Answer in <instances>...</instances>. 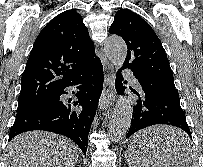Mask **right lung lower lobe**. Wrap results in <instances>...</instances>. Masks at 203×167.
Returning <instances> with one entry per match:
<instances>
[{"instance_id": "98d812e1", "label": "right lung lower lobe", "mask_w": 203, "mask_h": 167, "mask_svg": "<svg viewBox=\"0 0 203 167\" xmlns=\"http://www.w3.org/2000/svg\"><path fill=\"white\" fill-rule=\"evenodd\" d=\"M66 87L79 89L77 101L62 102L60 96L67 94ZM103 88V67L100 59L89 68L74 75L52 97L50 102L37 105L16 114L9 141L16 135L31 130H45L72 139L86 155L88 134L95 116L97 104ZM82 106V111H74L72 106Z\"/></svg>"}]
</instances>
